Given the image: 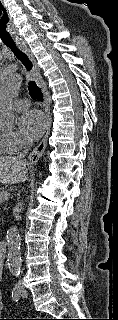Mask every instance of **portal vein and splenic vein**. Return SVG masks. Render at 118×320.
Returning a JSON list of instances; mask_svg holds the SVG:
<instances>
[{
	"mask_svg": "<svg viewBox=\"0 0 118 320\" xmlns=\"http://www.w3.org/2000/svg\"><path fill=\"white\" fill-rule=\"evenodd\" d=\"M10 193L8 191L0 192V202L8 200Z\"/></svg>",
	"mask_w": 118,
	"mask_h": 320,
	"instance_id": "18ae733b",
	"label": "portal vein and splenic vein"
}]
</instances>
